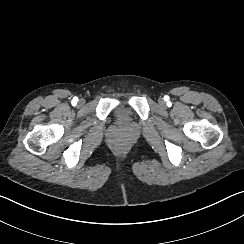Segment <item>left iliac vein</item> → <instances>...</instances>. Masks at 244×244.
<instances>
[{
	"instance_id": "obj_1",
	"label": "left iliac vein",
	"mask_w": 244,
	"mask_h": 244,
	"mask_svg": "<svg viewBox=\"0 0 244 244\" xmlns=\"http://www.w3.org/2000/svg\"><path fill=\"white\" fill-rule=\"evenodd\" d=\"M159 104H160L161 106H163V105H164V103H163V101H162V100H160V101H159Z\"/></svg>"
}]
</instances>
